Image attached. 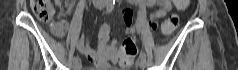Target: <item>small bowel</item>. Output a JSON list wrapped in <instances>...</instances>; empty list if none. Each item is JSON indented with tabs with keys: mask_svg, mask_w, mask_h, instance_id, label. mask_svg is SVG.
Returning <instances> with one entry per match:
<instances>
[{
	"mask_svg": "<svg viewBox=\"0 0 238 70\" xmlns=\"http://www.w3.org/2000/svg\"><path fill=\"white\" fill-rule=\"evenodd\" d=\"M172 3L175 4V1L170 0H147L146 4L148 6L157 5L159 9L150 14V20H155L158 18L165 17L168 12L171 10ZM187 6V5H186ZM182 9L183 7H178ZM185 8V7H184ZM124 20L127 26V34L131 35L135 26L133 25V11L129 8L122 10ZM67 21L64 19L58 20L52 25L53 32L59 36L63 37L67 31ZM55 30H57L55 32ZM111 28L109 24L103 23L100 26L99 30V39L97 50H93L89 45V40L86 35H83L77 42V48L79 52L84 55L93 66L87 70H107L111 67V64H115L119 59H115V54H118V42L116 40L110 39Z\"/></svg>",
	"mask_w": 238,
	"mask_h": 70,
	"instance_id": "c3829d8e",
	"label": "small bowel"
}]
</instances>
